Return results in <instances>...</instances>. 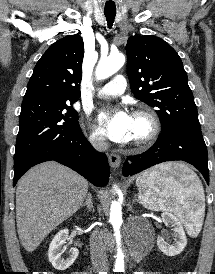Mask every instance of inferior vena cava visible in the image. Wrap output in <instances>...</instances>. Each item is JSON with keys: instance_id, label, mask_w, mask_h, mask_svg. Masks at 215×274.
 Masks as SVG:
<instances>
[{"instance_id": "602c4592", "label": "inferior vena cava", "mask_w": 215, "mask_h": 274, "mask_svg": "<svg viewBox=\"0 0 215 274\" xmlns=\"http://www.w3.org/2000/svg\"><path fill=\"white\" fill-rule=\"evenodd\" d=\"M92 145L99 151H106L108 144L104 137L94 136L91 138ZM90 253L94 271H106L108 269V258L106 248L99 230L93 231L90 237Z\"/></svg>"}]
</instances>
